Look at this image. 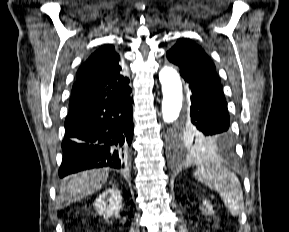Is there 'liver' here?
Here are the masks:
<instances>
[{
    "label": "liver",
    "instance_id": "liver-1",
    "mask_svg": "<svg viewBox=\"0 0 289 232\" xmlns=\"http://www.w3.org/2000/svg\"><path fill=\"white\" fill-rule=\"evenodd\" d=\"M108 179L106 169L83 171L63 183L59 189L57 204H69L76 199L87 197L100 190Z\"/></svg>",
    "mask_w": 289,
    "mask_h": 232
}]
</instances>
